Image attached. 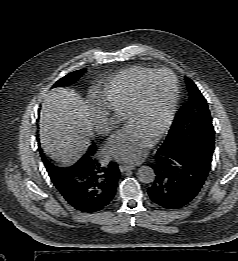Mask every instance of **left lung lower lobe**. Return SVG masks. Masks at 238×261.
Instances as JSON below:
<instances>
[{"label": "left lung lower lobe", "instance_id": "1", "mask_svg": "<svg viewBox=\"0 0 238 261\" xmlns=\"http://www.w3.org/2000/svg\"><path fill=\"white\" fill-rule=\"evenodd\" d=\"M214 134V130L204 129L190 141L159 148L151 166L155 180L148 188L154 203L179 209L195 198L211 167Z\"/></svg>", "mask_w": 238, "mask_h": 261}]
</instances>
